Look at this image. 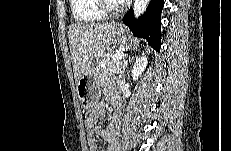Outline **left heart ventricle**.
Here are the masks:
<instances>
[{
  "mask_svg": "<svg viewBox=\"0 0 231 151\" xmlns=\"http://www.w3.org/2000/svg\"><path fill=\"white\" fill-rule=\"evenodd\" d=\"M110 3L112 4L113 7L118 5V2L115 0H110Z\"/></svg>",
  "mask_w": 231,
  "mask_h": 151,
  "instance_id": "obj_1",
  "label": "left heart ventricle"
}]
</instances>
